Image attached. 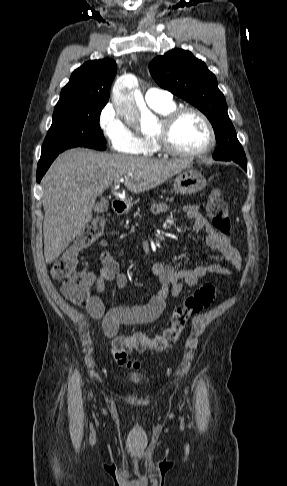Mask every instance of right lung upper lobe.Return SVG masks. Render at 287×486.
<instances>
[{
    "label": "right lung upper lobe",
    "mask_w": 287,
    "mask_h": 486,
    "mask_svg": "<svg viewBox=\"0 0 287 486\" xmlns=\"http://www.w3.org/2000/svg\"><path fill=\"white\" fill-rule=\"evenodd\" d=\"M117 65L112 59L88 61L76 69L61 90L56 106L83 102L107 103Z\"/></svg>",
    "instance_id": "right-lung-upper-lobe-1"
}]
</instances>
